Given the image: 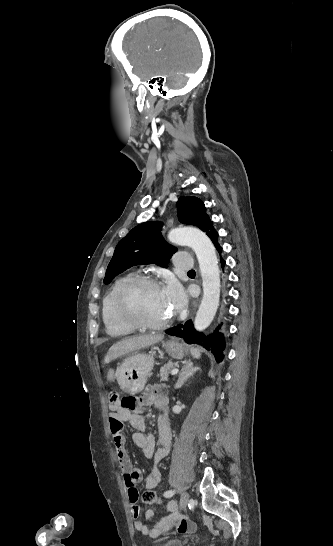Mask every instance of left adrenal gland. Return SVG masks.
<instances>
[{"mask_svg": "<svg viewBox=\"0 0 333 546\" xmlns=\"http://www.w3.org/2000/svg\"><path fill=\"white\" fill-rule=\"evenodd\" d=\"M199 370L198 367H193V363L190 361L185 362L182 371L179 373V378L175 384V389L181 388L183 384L187 381L188 378L193 376V374Z\"/></svg>", "mask_w": 333, "mask_h": 546, "instance_id": "left-adrenal-gland-1", "label": "left adrenal gland"}]
</instances>
